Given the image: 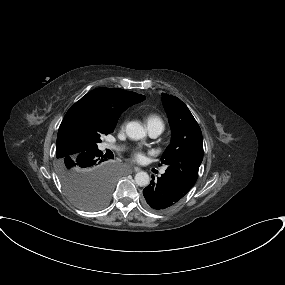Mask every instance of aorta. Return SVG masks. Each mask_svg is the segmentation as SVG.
I'll return each mask as SVG.
<instances>
[{
	"instance_id": "aorta-1",
	"label": "aorta",
	"mask_w": 285,
	"mask_h": 285,
	"mask_svg": "<svg viewBox=\"0 0 285 285\" xmlns=\"http://www.w3.org/2000/svg\"><path fill=\"white\" fill-rule=\"evenodd\" d=\"M128 137L134 140L144 139L147 135L146 129L137 121H131L126 125ZM135 182L138 186H147L150 182L148 173L141 171L135 175Z\"/></svg>"
}]
</instances>
